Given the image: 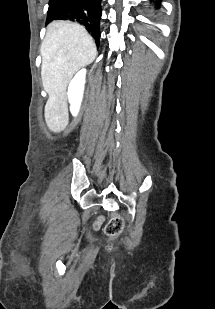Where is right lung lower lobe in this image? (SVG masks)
<instances>
[{
	"mask_svg": "<svg viewBox=\"0 0 215 309\" xmlns=\"http://www.w3.org/2000/svg\"><path fill=\"white\" fill-rule=\"evenodd\" d=\"M101 0H49L46 23L71 20L85 26L96 44L100 41Z\"/></svg>",
	"mask_w": 215,
	"mask_h": 309,
	"instance_id": "98d812e1",
	"label": "right lung lower lobe"
}]
</instances>
